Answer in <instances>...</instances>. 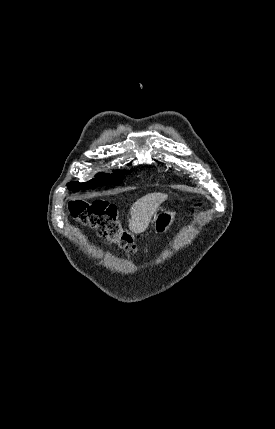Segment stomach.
Segmentation results:
<instances>
[{
    "label": "stomach",
    "mask_w": 275,
    "mask_h": 429,
    "mask_svg": "<svg viewBox=\"0 0 275 429\" xmlns=\"http://www.w3.org/2000/svg\"><path fill=\"white\" fill-rule=\"evenodd\" d=\"M175 212L173 210H165L154 216L153 229L156 234H163L169 230L175 220Z\"/></svg>",
    "instance_id": "1"
}]
</instances>
